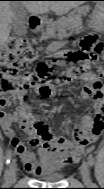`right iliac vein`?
<instances>
[{"mask_svg":"<svg viewBox=\"0 0 104 189\" xmlns=\"http://www.w3.org/2000/svg\"><path fill=\"white\" fill-rule=\"evenodd\" d=\"M16 174H17V164L15 160H12L7 172V182L13 183L16 179Z\"/></svg>","mask_w":104,"mask_h":189,"instance_id":"right-iliac-vein-1","label":"right iliac vein"}]
</instances>
